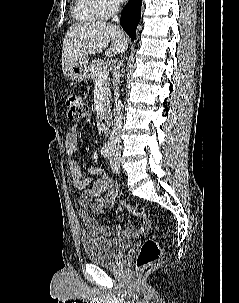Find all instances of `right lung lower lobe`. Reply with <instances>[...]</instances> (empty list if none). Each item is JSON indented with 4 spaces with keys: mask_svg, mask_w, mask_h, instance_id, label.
Segmentation results:
<instances>
[{
    "mask_svg": "<svg viewBox=\"0 0 239 303\" xmlns=\"http://www.w3.org/2000/svg\"><path fill=\"white\" fill-rule=\"evenodd\" d=\"M142 0H129L122 11L120 24L126 33L135 39L136 28L141 18Z\"/></svg>",
    "mask_w": 239,
    "mask_h": 303,
    "instance_id": "obj_1",
    "label": "right lung lower lobe"
}]
</instances>
